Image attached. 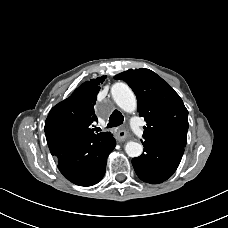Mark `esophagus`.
Segmentation results:
<instances>
[{"label":"esophagus","instance_id":"34e87169","mask_svg":"<svg viewBox=\"0 0 228 228\" xmlns=\"http://www.w3.org/2000/svg\"><path fill=\"white\" fill-rule=\"evenodd\" d=\"M128 134L124 129H119L116 133V139L118 142H123L127 139Z\"/></svg>","mask_w":228,"mask_h":228}]
</instances>
